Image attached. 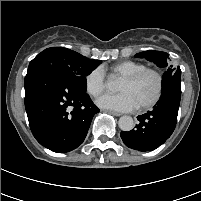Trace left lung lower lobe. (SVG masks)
Returning a JSON list of instances; mask_svg holds the SVG:
<instances>
[{"label": "left lung lower lobe", "instance_id": "obj_1", "mask_svg": "<svg viewBox=\"0 0 201 201\" xmlns=\"http://www.w3.org/2000/svg\"><path fill=\"white\" fill-rule=\"evenodd\" d=\"M181 99V83L172 82L162 89L160 100L151 111L137 117L135 129L121 132L125 145L137 151H152L173 133Z\"/></svg>", "mask_w": 201, "mask_h": 201}]
</instances>
